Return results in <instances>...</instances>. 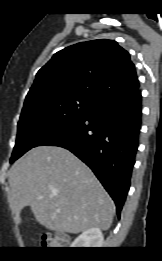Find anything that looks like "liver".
<instances>
[{
    "instance_id": "liver-1",
    "label": "liver",
    "mask_w": 162,
    "mask_h": 261,
    "mask_svg": "<svg viewBox=\"0 0 162 261\" xmlns=\"http://www.w3.org/2000/svg\"><path fill=\"white\" fill-rule=\"evenodd\" d=\"M9 185L17 224L25 206L51 231L78 234L95 227L108 230L112 224V199L93 172L64 148L31 149L12 166Z\"/></svg>"
}]
</instances>
